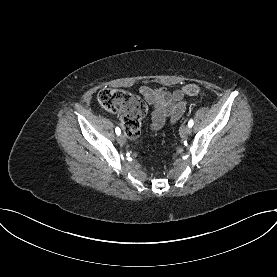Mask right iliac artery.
I'll return each instance as SVG.
<instances>
[{
	"label": "right iliac artery",
	"instance_id": "1",
	"mask_svg": "<svg viewBox=\"0 0 277 277\" xmlns=\"http://www.w3.org/2000/svg\"><path fill=\"white\" fill-rule=\"evenodd\" d=\"M115 132H116L117 135L121 134V130L118 127L115 129Z\"/></svg>",
	"mask_w": 277,
	"mask_h": 277
}]
</instances>
